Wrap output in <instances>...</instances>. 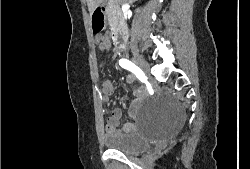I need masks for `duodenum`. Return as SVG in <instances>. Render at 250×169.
Wrapping results in <instances>:
<instances>
[{"mask_svg":"<svg viewBox=\"0 0 250 169\" xmlns=\"http://www.w3.org/2000/svg\"><path fill=\"white\" fill-rule=\"evenodd\" d=\"M108 11L111 12V10ZM111 13L113 14L111 18V25L113 28V30L111 31L112 40L117 47L124 48L128 45L130 36L127 22L121 10H117L115 13Z\"/></svg>","mask_w":250,"mask_h":169,"instance_id":"1","label":"duodenum"}]
</instances>
